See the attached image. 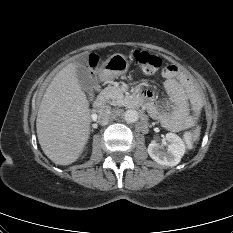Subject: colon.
I'll use <instances>...</instances> for the list:
<instances>
[{"label": "colon", "mask_w": 233, "mask_h": 233, "mask_svg": "<svg viewBox=\"0 0 233 233\" xmlns=\"http://www.w3.org/2000/svg\"><path fill=\"white\" fill-rule=\"evenodd\" d=\"M134 58L142 70L148 74L155 73L162 64L158 56L147 51H136L134 53ZM194 140L195 136L193 133L189 132L184 135V141L189 147L193 145Z\"/></svg>", "instance_id": "5ec220e1"}]
</instances>
